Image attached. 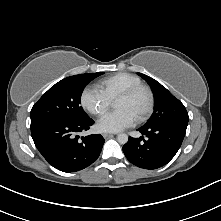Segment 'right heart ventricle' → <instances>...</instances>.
I'll return each instance as SVG.
<instances>
[{
  "label": "right heart ventricle",
  "mask_w": 221,
  "mask_h": 221,
  "mask_svg": "<svg viewBox=\"0 0 221 221\" xmlns=\"http://www.w3.org/2000/svg\"><path fill=\"white\" fill-rule=\"evenodd\" d=\"M141 83V79L136 75L122 72L102 79L99 82V88L113 101L126 89Z\"/></svg>",
  "instance_id": "1"
}]
</instances>
